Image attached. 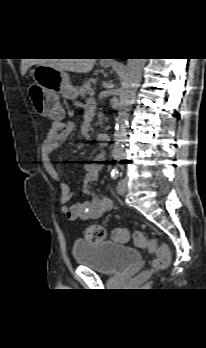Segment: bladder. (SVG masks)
Returning a JSON list of instances; mask_svg holds the SVG:
<instances>
[{
    "label": "bladder",
    "mask_w": 206,
    "mask_h": 348,
    "mask_svg": "<svg viewBox=\"0 0 206 348\" xmlns=\"http://www.w3.org/2000/svg\"><path fill=\"white\" fill-rule=\"evenodd\" d=\"M73 255L78 265L106 275L119 274L141 260L138 250L113 241H76Z\"/></svg>",
    "instance_id": "1"
}]
</instances>
